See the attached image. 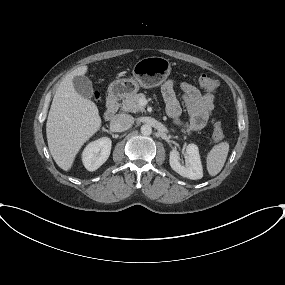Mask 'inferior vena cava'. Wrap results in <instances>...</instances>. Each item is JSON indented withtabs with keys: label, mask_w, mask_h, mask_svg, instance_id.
Masks as SVG:
<instances>
[{
	"label": "inferior vena cava",
	"mask_w": 285,
	"mask_h": 285,
	"mask_svg": "<svg viewBox=\"0 0 285 285\" xmlns=\"http://www.w3.org/2000/svg\"><path fill=\"white\" fill-rule=\"evenodd\" d=\"M134 118L125 113L117 114L110 122V127L114 132H122L132 127Z\"/></svg>",
	"instance_id": "1"
}]
</instances>
